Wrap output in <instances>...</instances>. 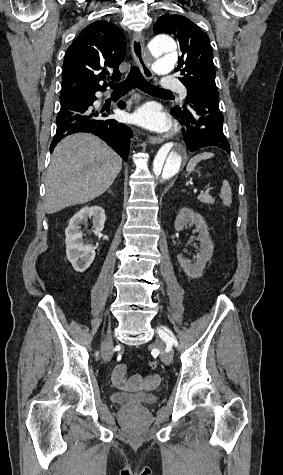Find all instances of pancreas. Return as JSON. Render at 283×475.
<instances>
[{"mask_svg":"<svg viewBox=\"0 0 283 475\" xmlns=\"http://www.w3.org/2000/svg\"><path fill=\"white\" fill-rule=\"evenodd\" d=\"M198 200L199 202H204V204H213V202H215L214 198H212L210 194H200V196H198Z\"/></svg>","mask_w":283,"mask_h":475,"instance_id":"obj_1","label":"pancreas"}]
</instances>
